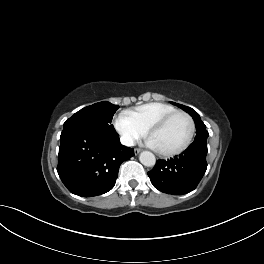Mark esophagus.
I'll list each match as a JSON object with an SVG mask.
<instances>
[{
	"label": "esophagus",
	"mask_w": 264,
	"mask_h": 264,
	"mask_svg": "<svg viewBox=\"0 0 264 264\" xmlns=\"http://www.w3.org/2000/svg\"><path fill=\"white\" fill-rule=\"evenodd\" d=\"M140 152H141V149H138V148L134 149V154L135 155H138Z\"/></svg>",
	"instance_id": "esophagus-1"
}]
</instances>
